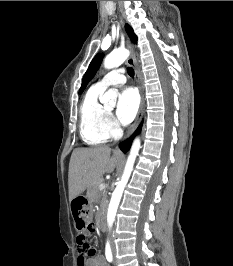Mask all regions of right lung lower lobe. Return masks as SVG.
<instances>
[{"label":"right lung lower lobe","mask_w":233,"mask_h":266,"mask_svg":"<svg viewBox=\"0 0 233 266\" xmlns=\"http://www.w3.org/2000/svg\"><path fill=\"white\" fill-rule=\"evenodd\" d=\"M141 126L142 125L140 124L139 127H138V129L136 130V132L128 140H126L125 142H123V143L120 144V148H121V150L124 153H126L129 150V148L131 146V142L134 139V137L140 132Z\"/></svg>","instance_id":"1"}]
</instances>
